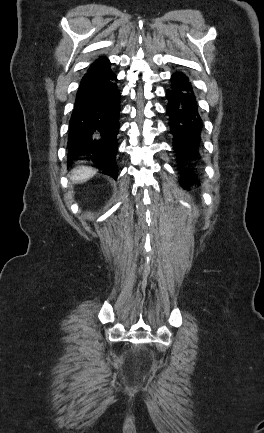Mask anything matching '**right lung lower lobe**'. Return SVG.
Returning <instances> with one entry per match:
<instances>
[{
    "label": "right lung lower lobe",
    "instance_id": "1",
    "mask_svg": "<svg viewBox=\"0 0 264 433\" xmlns=\"http://www.w3.org/2000/svg\"><path fill=\"white\" fill-rule=\"evenodd\" d=\"M116 81L105 57L90 65L78 88L68 137L69 157L91 154L94 163L113 178H117L120 113Z\"/></svg>",
    "mask_w": 264,
    "mask_h": 433
}]
</instances>
